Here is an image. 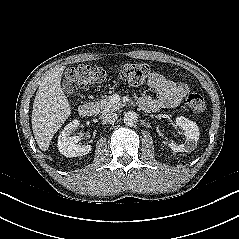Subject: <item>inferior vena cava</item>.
<instances>
[{
  "mask_svg": "<svg viewBox=\"0 0 239 239\" xmlns=\"http://www.w3.org/2000/svg\"><path fill=\"white\" fill-rule=\"evenodd\" d=\"M117 114L113 113V112H103L100 116V119L105 122V123H109L112 124L116 121L117 119Z\"/></svg>",
  "mask_w": 239,
  "mask_h": 239,
  "instance_id": "1",
  "label": "inferior vena cava"
}]
</instances>
